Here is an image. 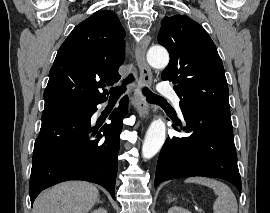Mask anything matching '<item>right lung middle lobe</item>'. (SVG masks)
<instances>
[{"instance_id":"1","label":"right lung middle lobe","mask_w":270,"mask_h":213,"mask_svg":"<svg viewBox=\"0 0 270 213\" xmlns=\"http://www.w3.org/2000/svg\"><path fill=\"white\" fill-rule=\"evenodd\" d=\"M88 104H84V103H73V102H66V103H60V104H56V105H52L49 107H45L44 110H48V109H58V108H81L84 106H87Z\"/></svg>"}]
</instances>
